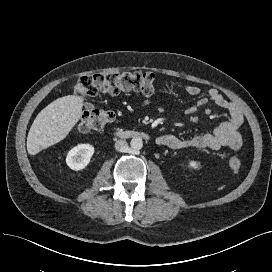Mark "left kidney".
<instances>
[{
    "instance_id": "left-kidney-1",
    "label": "left kidney",
    "mask_w": 272,
    "mask_h": 272,
    "mask_svg": "<svg viewBox=\"0 0 272 272\" xmlns=\"http://www.w3.org/2000/svg\"><path fill=\"white\" fill-rule=\"evenodd\" d=\"M189 166L193 169H199L200 163L194 160L189 161Z\"/></svg>"
}]
</instances>
